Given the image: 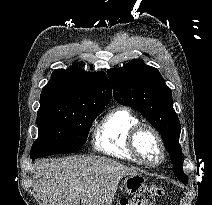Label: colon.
<instances>
[{"label":"colon","mask_w":212,"mask_h":205,"mask_svg":"<svg viewBox=\"0 0 212 205\" xmlns=\"http://www.w3.org/2000/svg\"><path fill=\"white\" fill-rule=\"evenodd\" d=\"M164 194L162 188L156 185L143 187L130 199H122L119 205H153L156 198Z\"/></svg>","instance_id":"obj_1"}]
</instances>
